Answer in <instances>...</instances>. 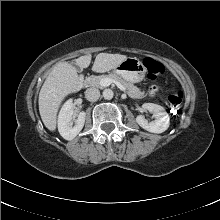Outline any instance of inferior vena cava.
Listing matches in <instances>:
<instances>
[{
    "label": "inferior vena cava",
    "mask_w": 220,
    "mask_h": 220,
    "mask_svg": "<svg viewBox=\"0 0 220 220\" xmlns=\"http://www.w3.org/2000/svg\"><path fill=\"white\" fill-rule=\"evenodd\" d=\"M100 97V91L97 88L91 87L85 91V98L88 101H97Z\"/></svg>",
    "instance_id": "1"
}]
</instances>
